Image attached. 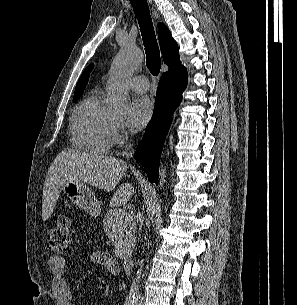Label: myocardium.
<instances>
[{"mask_svg":"<svg viewBox=\"0 0 297 305\" xmlns=\"http://www.w3.org/2000/svg\"><path fill=\"white\" fill-rule=\"evenodd\" d=\"M114 140H116V138H115V133H114V138H113V141H114Z\"/></svg>","mask_w":297,"mask_h":305,"instance_id":"myocardium-1","label":"myocardium"}]
</instances>
